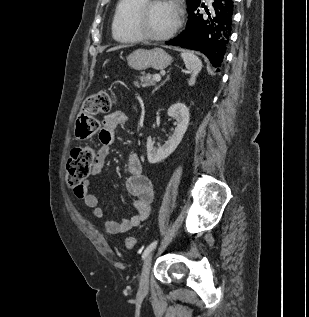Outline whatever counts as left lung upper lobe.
Here are the masks:
<instances>
[{"label": "left lung upper lobe", "mask_w": 309, "mask_h": 317, "mask_svg": "<svg viewBox=\"0 0 309 317\" xmlns=\"http://www.w3.org/2000/svg\"><path fill=\"white\" fill-rule=\"evenodd\" d=\"M201 0H187L188 9L196 6Z\"/></svg>", "instance_id": "left-lung-upper-lobe-1"}]
</instances>
